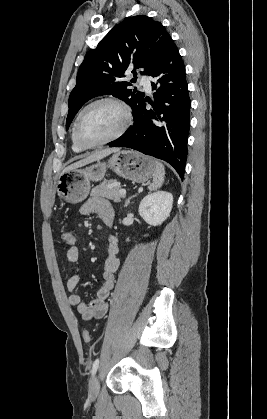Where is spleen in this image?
Segmentation results:
<instances>
[{"label": "spleen", "mask_w": 267, "mask_h": 419, "mask_svg": "<svg viewBox=\"0 0 267 419\" xmlns=\"http://www.w3.org/2000/svg\"><path fill=\"white\" fill-rule=\"evenodd\" d=\"M164 178H165L164 165L159 161H155V172L153 175V182L148 186V189L150 191L159 189L163 185Z\"/></svg>", "instance_id": "1"}]
</instances>
